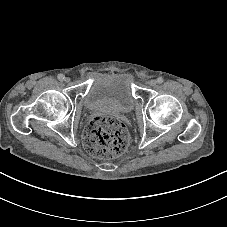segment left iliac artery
<instances>
[{
  "label": "left iliac artery",
  "instance_id": "obj_1",
  "mask_svg": "<svg viewBox=\"0 0 227 227\" xmlns=\"http://www.w3.org/2000/svg\"><path fill=\"white\" fill-rule=\"evenodd\" d=\"M163 81H164V80H163L162 77H158V78H157V83L161 84V83H163Z\"/></svg>",
  "mask_w": 227,
  "mask_h": 227
}]
</instances>
